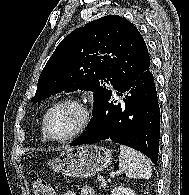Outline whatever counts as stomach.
Wrapping results in <instances>:
<instances>
[{
  "label": "stomach",
  "mask_w": 189,
  "mask_h": 195,
  "mask_svg": "<svg viewBox=\"0 0 189 195\" xmlns=\"http://www.w3.org/2000/svg\"><path fill=\"white\" fill-rule=\"evenodd\" d=\"M112 160L111 151L97 145H83L67 149L48 166L57 173L74 178H88L102 171Z\"/></svg>",
  "instance_id": "obj_1"
}]
</instances>
